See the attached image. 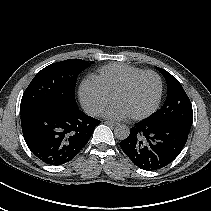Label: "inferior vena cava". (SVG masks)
Instances as JSON below:
<instances>
[{
  "label": "inferior vena cava",
  "instance_id": "1",
  "mask_svg": "<svg viewBox=\"0 0 211 211\" xmlns=\"http://www.w3.org/2000/svg\"><path fill=\"white\" fill-rule=\"evenodd\" d=\"M101 112V109L99 108H94L91 110L90 114H92L93 116L98 115Z\"/></svg>",
  "mask_w": 211,
  "mask_h": 211
}]
</instances>
